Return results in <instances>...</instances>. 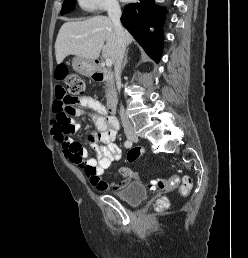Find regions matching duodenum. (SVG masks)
Listing matches in <instances>:
<instances>
[{"instance_id": "410a0bca", "label": "duodenum", "mask_w": 248, "mask_h": 258, "mask_svg": "<svg viewBox=\"0 0 248 258\" xmlns=\"http://www.w3.org/2000/svg\"><path fill=\"white\" fill-rule=\"evenodd\" d=\"M92 77L96 81L112 80L113 73L102 68L99 62H95L92 71ZM117 108V94L114 90L110 91L107 97V110L109 113L114 114Z\"/></svg>"}]
</instances>
